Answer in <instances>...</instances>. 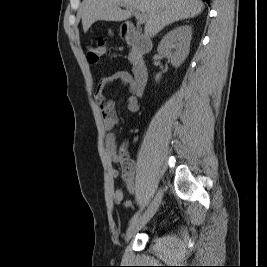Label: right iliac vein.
Here are the masks:
<instances>
[{
	"mask_svg": "<svg viewBox=\"0 0 267 267\" xmlns=\"http://www.w3.org/2000/svg\"><path fill=\"white\" fill-rule=\"evenodd\" d=\"M163 196V190L159 189L154 199L144 212V214L129 226L126 231L125 239L130 240L144 225L153 217L157 211Z\"/></svg>",
	"mask_w": 267,
	"mask_h": 267,
	"instance_id": "1",
	"label": "right iliac vein"
}]
</instances>
